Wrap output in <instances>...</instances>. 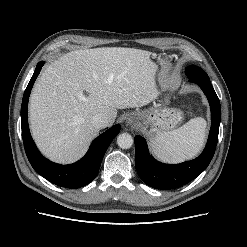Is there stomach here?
<instances>
[{
    "label": "stomach",
    "instance_id": "obj_1",
    "mask_svg": "<svg viewBox=\"0 0 247 247\" xmlns=\"http://www.w3.org/2000/svg\"><path fill=\"white\" fill-rule=\"evenodd\" d=\"M159 60L161 63L163 62L162 58ZM136 115L141 125H150L153 129L160 131L174 129L183 119V114L180 110L162 107L160 104H155L153 107L143 111H137ZM153 129L148 133L150 139L153 137Z\"/></svg>",
    "mask_w": 247,
    "mask_h": 247
}]
</instances>
